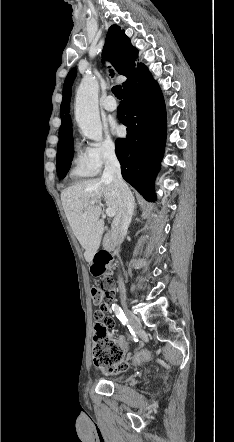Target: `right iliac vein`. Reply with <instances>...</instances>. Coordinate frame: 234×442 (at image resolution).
Here are the masks:
<instances>
[{
    "label": "right iliac vein",
    "instance_id": "obj_1",
    "mask_svg": "<svg viewBox=\"0 0 234 442\" xmlns=\"http://www.w3.org/2000/svg\"><path fill=\"white\" fill-rule=\"evenodd\" d=\"M124 306L126 307V304L124 303ZM126 314L129 320V324L133 328L134 331H138L141 328V323L139 318L132 312L126 310Z\"/></svg>",
    "mask_w": 234,
    "mask_h": 442
}]
</instances>
